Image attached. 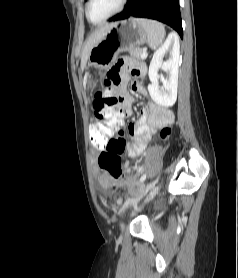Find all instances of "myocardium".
Segmentation results:
<instances>
[{"instance_id": "f54148a6", "label": "myocardium", "mask_w": 238, "mask_h": 278, "mask_svg": "<svg viewBox=\"0 0 238 278\" xmlns=\"http://www.w3.org/2000/svg\"><path fill=\"white\" fill-rule=\"evenodd\" d=\"M92 0H87L86 2V6H85V14H86V18L88 19L89 22H91L92 24H101L107 20H109L110 18L114 17L115 15H117L119 12L122 11V9L124 8V6L126 5L128 0H120V3L118 5V7L112 12L110 13L108 16H106L105 18H103L102 20L99 21H95L93 19H91L90 14H89V7L91 4Z\"/></svg>"}]
</instances>
